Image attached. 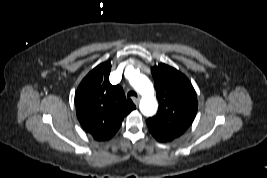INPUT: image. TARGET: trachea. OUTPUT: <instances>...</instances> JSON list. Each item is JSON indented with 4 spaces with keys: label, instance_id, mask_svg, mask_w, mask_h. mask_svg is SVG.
I'll return each instance as SVG.
<instances>
[{
    "label": "trachea",
    "instance_id": "3493384b",
    "mask_svg": "<svg viewBox=\"0 0 267 178\" xmlns=\"http://www.w3.org/2000/svg\"><path fill=\"white\" fill-rule=\"evenodd\" d=\"M135 96L137 97V93L135 91H129L127 97Z\"/></svg>",
    "mask_w": 267,
    "mask_h": 178
}]
</instances>
